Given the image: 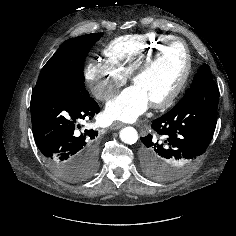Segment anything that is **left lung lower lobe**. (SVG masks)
Returning <instances> with one entry per match:
<instances>
[{
  "instance_id": "0a47b994",
  "label": "left lung lower lobe",
  "mask_w": 236,
  "mask_h": 236,
  "mask_svg": "<svg viewBox=\"0 0 236 236\" xmlns=\"http://www.w3.org/2000/svg\"><path fill=\"white\" fill-rule=\"evenodd\" d=\"M219 91L214 80L186 92L168 113L155 119L156 136L141 137V166L158 180L175 178L199 161L210 144L217 123Z\"/></svg>"
}]
</instances>
